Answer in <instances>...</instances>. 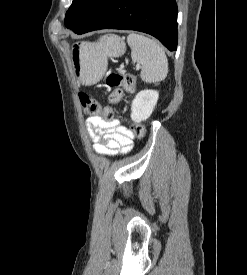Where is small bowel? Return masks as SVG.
I'll list each match as a JSON object with an SVG mask.
<instances>
[{"mask_svg": "<svg viewBox=\"0 0 247 275\" xmlns=\"http://www.w3.org/2000/svg\"><path fill=\"white\" fill-rule=\"evenodd\" d=\"M87 127L94 142L95 152L102 156L125 154L131 150L134 135L117 119H106L92 115L87 119Z\"/></svg>", "mask_w": 247, "mask_h": 275, "instance_id": "1", "label": "small bowel"}]
</instances>
